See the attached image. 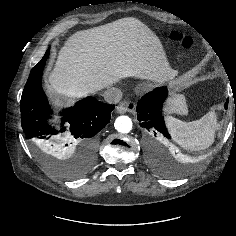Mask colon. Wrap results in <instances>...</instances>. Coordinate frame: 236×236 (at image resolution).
I'll return each mask as SVG.
<instances>
[{"label":"colon","mask_w":236,"mask_h":236,"mask_svg":"<svg viewBox=\"0 0 236 236\" xmlns=\"http://www.w3.org/2000/svg\"><path fill=\"white\" fill-rule=\"evenodd\" d=\"M170 37L174 42H177L178 44L182 45V47L186 49H190L195 46L193 39L189 36L183 35L182 33L172 32L170 34Z\"/></svg>","instance_id":"obj_1"}]
</instances>
